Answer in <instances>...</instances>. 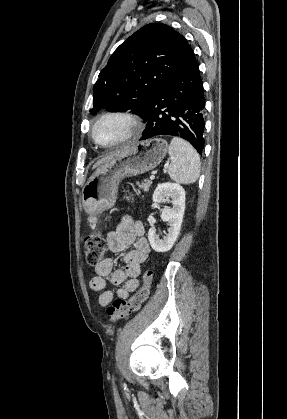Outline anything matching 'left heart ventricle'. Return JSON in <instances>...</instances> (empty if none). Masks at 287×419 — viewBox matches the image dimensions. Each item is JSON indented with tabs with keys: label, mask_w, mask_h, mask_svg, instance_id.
I'll list each match as a JSON object with an SVG mask.
<instances>
[{
	"label": "left heart ventricle",
	"mask_w": 287,
	"mask_h": 419,
	"mask_svg": "<svg viewBox=\"0 0 287 419\" xmlns=\"http://www.w3.org/2000/svg\"><path fill=\"white\" fill-rule=\"evenodd\" d=\"M130 132L128 124L117 118L102 121L95 130L96 139L103 144L113 143L125 137Z\"/></svg>",
	"instance_id": "b2bd125f"
}]
</instances>
